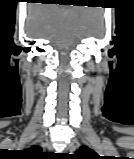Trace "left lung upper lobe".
<instances>
[{"instance_id":"1","label":"left lung upper lobe","mask_w":134,"mask_h":159,"mask_svg":"<svg viewBox=\"0 0 134 159\" xmlns=\"http://www.w3.org/2000/svg\"><path fill=\"white\" fill-rule=\"evenodd\" d=\"M72 159H102L99 155H97L93 150L88 147H81L80 153H76L73 155Z\"/></svg>"}]
</instances>
